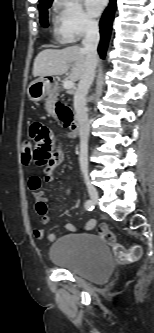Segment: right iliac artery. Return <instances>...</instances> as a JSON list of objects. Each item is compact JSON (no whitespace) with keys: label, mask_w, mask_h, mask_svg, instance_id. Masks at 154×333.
Wrapping results in <instances>:
<instances>
[{"label":"right iliac artery","mask_w":154,"mask_h":333,"mask_svg":"<svg viewBox=\"0 0 154 333\" xmlns=\"http://www.w3.org/2000/svg\"><path fill=\"white\" fill-rule=\"evenodd\" d=\"M93 208H94L93 202L91 200H87L85 202V209L91 211L93 210Z\"/></svg>","instance_id":"right-iliac-artery-1"}]
</instances>
